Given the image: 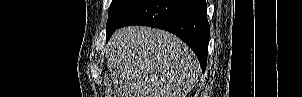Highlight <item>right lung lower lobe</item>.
<instances>
[{
  "instance_id": "obj_1",
  "label": "right lung lower lobe",
  "mask_w": 302,
  "mask_h": 97,
  "mask_svg": "<svg viewBox=\"0 0 302 97\" xmlns=\"http://www.w3.org/2000/svg\"><path fill=\"white\" fill-rule=\"evenodd\" d=\"M144 25L164 29L182 39L207 66L210 28L205 0H145L118 26Z\"/></svg>"
}]
</instances>
